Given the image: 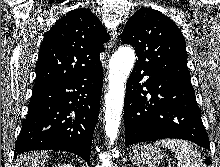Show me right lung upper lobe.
Returning <instances> with one entry per match:
<instances>
[{"label": "right lung upper lobe", "mask_w": 220, "mask_h": 167, "mask_svg": "<svg viewBox=\"0 0 220 167\" xmlns=\"http://www.w3.org/2000/svg\"><path fill=\"white\" fill-rule=\"evenodd\" d=\"M108 33L89 10H71L45 34L36 64L33 89L58 84L101 66Z\"/></svg>", "instance_id": "right-lung-upper-lobe-1"}]
</instances>
